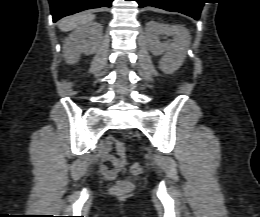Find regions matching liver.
Wrapping results in <instances>:
<instances>
[{
	"instance_id": "obj_1",
	"label": "liver",
	"mask_w": 260,
	"mask_h": 217,
	"mask_svg": "<svg viewBox=\"0 0 260 217\" xmlns=\"http://www.w3.org/2000/svg\"><path fill=\"white\" fill-rule=\"evenodd\" d=\"M94 18L95 16L90 12L72 15L59 23V29L63 32H68L83 24L91 22Z\"/></svg>"
}]
</instances>
